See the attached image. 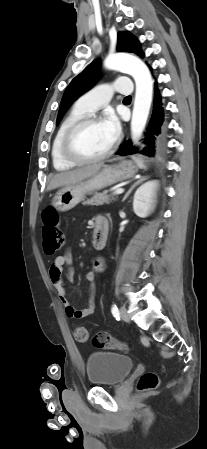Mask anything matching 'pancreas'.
Here are the masks:
<instances>
[{
    "label": "pancreas",
    "mask_w": 207,
    "mask_h": 449,
    "mask_svg": "<svg viewBox=\"0 0 207 449\" xmlns=\"http://www.w3.org/2000/svg\"><path fill=\"white\" fill-rule=\"evenodd\" d=\"M111 200H115L114 198L110 199L106 192L97 193L92 198L88 199L84 202V205H103L104 203L109 204Z\"/></svg>",
    "instance_id": "1"
}]
</instances>
